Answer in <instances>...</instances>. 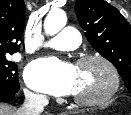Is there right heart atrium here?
<instances>
[{
	"label": "right heart atrium",
	"instance_id": "right-heart-atrium-1",
	"mask_svg": "<svg viewBox=\"0 0 131 115\" xmlns=\"http://www.w3.org/2000/svg\"><path fill=\"white\" fill-rule=\"evenodd\" d=\"M26 96H27L28 98H30V99H37V98L40 97L39 94L34 93V92H32V91H28V90L26 91Z\"/></svg>",
	"mask_w": 131,
	"mask_h": 115
}]
</instances>
